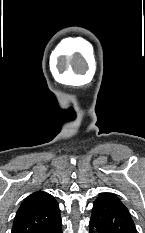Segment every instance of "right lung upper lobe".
Masks as SVG:
<instances>
[{"mask_svg": "<svg viewBox=\"0 0 145 233\" xmlns=\"http://www.w3.org/2000/svg\"><path fill=\"white\" fill-rule=\"evenodd\" d=\"M60 219L59 205L54 197L37 191L22 202L11 233H46Z\"/></svg>", "mask_w": 145, "mask_h": 233, "instance_id": "right-lung-upper-lobe-1", "label": "right lung upper lobe"}]
</instances>
